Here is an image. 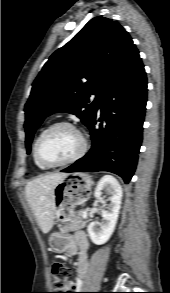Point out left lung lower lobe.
Wrapping results in <instances>:
<instances>
[{
	"instance_id": "0a47b994",
	"label": "left lung lower lobe",
	"mask_w": 170,
	"mask_h": 293,
	"mask_svg": "<svg viewBox=\"0 0 170 293\" xmlns=\"http://www.w3.org/2000/svg\"><path fill=\"white\" fill-rule=\"evenodd\" d=\"M147 101V78L134 46L107 84L88 128L89 152L62 172L108 171L127 184L136 169L142 143ZM101 109V117L97 111ZM102 123L97 126L96 123Z\"/></svg>"
}]
</instances>
